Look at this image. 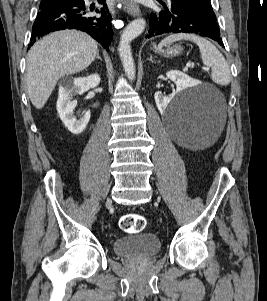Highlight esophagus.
<instances>
[{
    "instance_id": "esophagus-1",
    "label": "esophagus",
    "mask_w": 267,
    "mask_h": 301,
    "mask_svg": "<svg viewBox=\"0 0 267 301\" xmlns=\"http://www.w3.org/2000/svg\"><path fill=\"white\" fill-rule=\"evenodd\" d=\"M124 1V4H125V9L126 11L133 17H137L140 15V8H139V5L132 2V1H129V0H123Z\"/></svg>"
}]
</instances>
